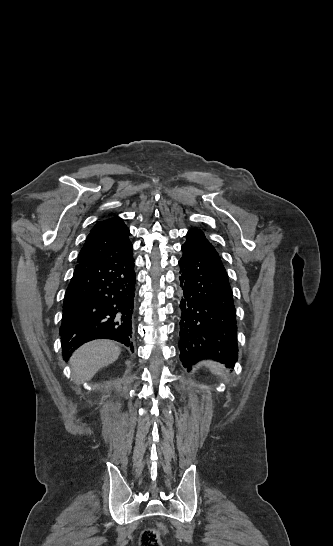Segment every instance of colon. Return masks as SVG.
<instances>
[{
  "mask_svg": "<svg viewBox=\"0 0 333 546\" xmlns=\"http://www.w3.org/2000/svg\"><path fill=\"white\" fill-rule=\"evenodd\" d=\"M141 546H162L159 539V533L155 529L143 531L140 538Z\"/></svg>",
  "mask_w": 333,
  "mask_h": 546,
  "instance_id": "colon-1",
  "label": "colon"
}]
</instances>
